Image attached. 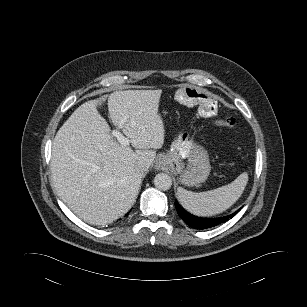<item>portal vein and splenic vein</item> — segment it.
Segmentation results:
<instances>
[{
  "instance_id": "portal-vein-and-splenic-vein-1",
  "label": "portal vein and splenic vein",
  "mask_w": 307,
  "mask_h": 307,
  "mask_svg": "<svg viewBox=\"0 0 307 307\" xmlns=\"http://www.w3.org/2000/svg\"><path fill=\"white\" fill-rule=\"evenodd\" d=\"M121 126L118 127L120 129ZM118 129L113 130L112 135L119 141V143L123 146H128L130 144V140L126 138Z\"/></svg>"
}]
</instances>
